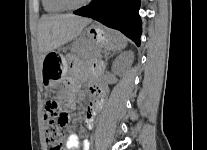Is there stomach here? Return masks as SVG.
Here are the masks:
<instances>
[{"label":"stomach","instance_id":"1","mask_svg":"<svg viewBox=\"0 0 207 150\" xmlns=\"http://www.w3.org/2000/svg\"><path fill=\"white\" fill-rule=\"evenodd\" d=\"M83 51V55L92 47L107 50H120L126 46V40L118 33H108L100 25L91 24L84 29L83 37L79 43ZM99 54H95L94 58H99ZM68 68L67 59L64 53L57 51L49 52L43 60L42 74L45 89L54 94H60L67 89V84L63 79Z\"/></svg>","mask_w":207,"mask_h":150}]
</instances>
